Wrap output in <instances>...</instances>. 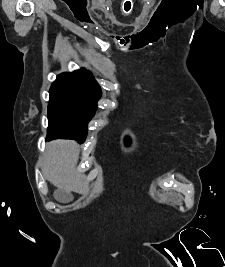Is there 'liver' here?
Segmentation results:
<instances>
[{
  "instance_id": "1",
  "label": "liver",
  "mask_w": 225,
  "mask_h": 267,
  "mask_svg": "<svg viewBox=\"0 0 225 267\" xmlns=\"http://www.w3.org/2000/svg\"><path fill=\"white\" fill-rule=\"evenodd\" d=\"M79 152V146L74 141L55 140L47 144L42 160V171L46 179L67 192L86 194L88 183L85 182V175L75 170Z\"/></svg>"
}]
</instances>
